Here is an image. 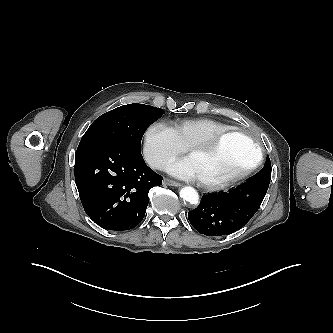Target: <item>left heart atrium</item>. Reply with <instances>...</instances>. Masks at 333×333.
<instances>
[{"label": "left heart atrium", "instance_id": "left-heart-atrium-1", "mask_svg": "<svg viewBox=\"0 0 333 333\" xmlns=\"http://www.w3.org/2000/svg\"><path fill=\"white\" fill-rule=\"evenodd\" d=\"M168 171L179 178L188 180L198 179L196 169L190 157L172 163L169 165Z\"/></svg>", "mask_w": 333, "mask_h": 333}]
</instances>
